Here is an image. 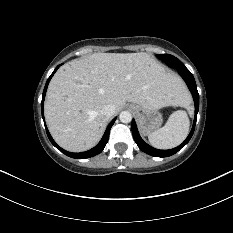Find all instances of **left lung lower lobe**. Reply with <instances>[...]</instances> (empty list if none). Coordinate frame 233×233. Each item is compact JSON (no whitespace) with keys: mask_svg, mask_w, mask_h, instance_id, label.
I'll list each match as a JSON object with an SVG mask.
<instances>
[{"mask_svg":"<svg viewBox=\"0 0 233 233\" xmlns=\"http://www.w3.org/2000/svg\"><path fill=\"white\" fill-rule=\"evenodd\" d=\"M174 68L178 70V73L184 79L190 92L192 93L194 103H195V118H194L193 127L191 129V132L188 135V137L185 139V141L181 145H179L178 147H176L174 149H170V150H158V149H155V148L149 146L148 144H146L139 135L135 121L132 120V134H133L134 140L137 143L138 147L143 152H145L151 156H155V157H168V156H171V155L175 154L176 152H178L182 147H184L189 142V140L191 139V137L193 135L194 129H195L197 113L199 110V94L197 91L195 79H194L192 73L183 64L182 65H175Z\"/></svg>","mask_w":233,"mask_h":233,"instance_id":"1","label":"left lung lower lobe"}]
</instances>
